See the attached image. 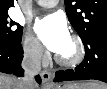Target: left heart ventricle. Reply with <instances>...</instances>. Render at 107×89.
I'll list each match as a JSON object with an SVG mask.
<instances>
[{"label": "left heart ventricle", "instance_id": "left-heart-ventricle-1", "mask_svg": "<svg viewBox=\"0 0 107 89\" xmlns=\"http://www.w3.org/2000/svg\"><path fill=\"white\" fill-rule=\"evenodd\" d=\"M73 53H74V46L70 40L67 47L61 53H59V55L68 58L71 57Z\"/></svg>", "mask_w": 107, "mask_h": 89}]
</instances>
